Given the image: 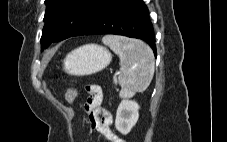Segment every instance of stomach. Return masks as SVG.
Masks as SVG:
<instances>
[{
    "label": "stomach",
    "instance_id": "stomach-1",
    "mask_svg": "<svg viewBox=\"0 0 227 142\" xmlns=\"http://www.w3.org/2000/svg\"><path fill=\"white\" fill-rule=\"evenodd\" d=\"M111 53L96 44L80 46L62 61V70L74 76H86L97 73L109 65Z\"/></svg>",
    "mask_w": 227,
    "mask_h": 142
}]
</instances>
